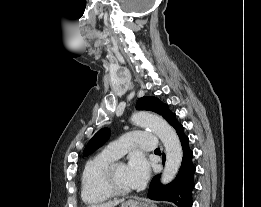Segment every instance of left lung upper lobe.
Returning <instances> with one entry per match:
<instances>
[{
  "label": "left lung upper lobe",
  "instance_id": "5c2ea615",
  "mask_svg": "<svg viewBox=\"0 0 261 207\" xmlns=\"http://www.w3.org/2000/svg\"><path fill=\"white\" fill-rule=\"evenodd\" d=\"M136 108L139 110L152 111L161 115L171 126H174L178 122L176 115L169 110L168 105L162 103L156 97L145 96L139 98L136 104ZM109 136V129L103 128L99 130L88 142L84 149L83 156H88L97 148L102 146L108 140Z\"/></svg>",
  "mask_w": 261,
  "mask_h": 207
}]
</instances>
